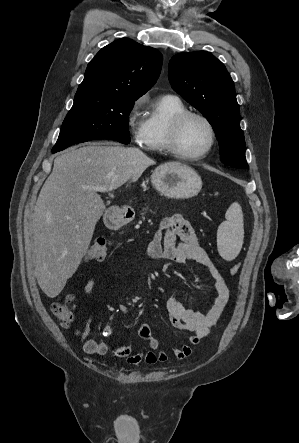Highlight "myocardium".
Here are the masks:
<instances>
[{"label":"myocardium","instance_id":"obj_1","mask_svg":"<svg viewBox=\"0 0 299 443\" xmlns=\"http://www.w3.org/2000/svg\"><path fill=\"white\" fill-rule=\"evenodd\" d=\"M190 117H196L202 120L208 127L210 140L207 148L199 154H187L183 152L179 147V136L185 121ZM216 142V132L212 122L202 113L196 111L185 110L176 114L169 125L167 136V148L168 151L175 156L185 160H199L206 157L213 149Z\"/></svg>","mask_w":299,"mask_h":443}]
</instances>
